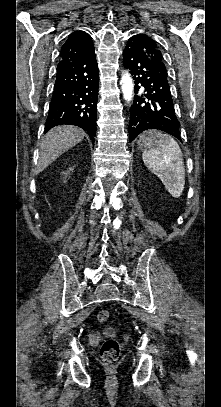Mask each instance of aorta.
Returning a JSON list of instances; mask_svg holds the SVG:
<instances>
[{"mask_svg": "<svg viewBox=\"0 0 221 407\" xmlns=\"http://www.w3.org/2000/svg\"><path fill=\"white\" fill-rule=\"evenodd\" d=\"M120 84L124 99L126 101H131L133 98L134 86L132 78L130 77V74L128 72H125L122 75Z\"/></svg>", "mask_w": 221, "mask_h": 407, "instance_id": "1", "label": "aorta"}]
</instances>
